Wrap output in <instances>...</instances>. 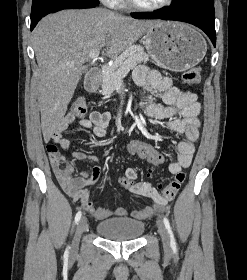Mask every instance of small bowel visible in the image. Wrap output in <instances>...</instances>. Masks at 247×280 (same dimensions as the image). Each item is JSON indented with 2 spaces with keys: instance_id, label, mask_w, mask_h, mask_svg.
<instances>
[{
  "instance_id": "c3829d8e",
  "label": "small bowel",
  "mask_w": 247,
  "mask_h": 280,
  "mask_svg": "<svg viewBox=\"0 0 247 280\" xmlns=\"http://www.w3.org/2000/svg\"><path fill=\"white\" fill-rule=\"evenodd\" d=\"M134 80L142 90L160 95L163 102L162 104L149 103L144 105L145 114L154 120H166V127L169 130L185 135V139L179 142L177 146V159L168 163L169 172L175 175L191 165L195 152V142L199 137V114L201 110L197 96L192 91L180 89L169 78L162 76L157 71L148 70L145 66H139L135 69ZM74 118L72 113H68L59 122L56 129L51 133V145L59 147L63 151L70 150V142L63 137V134L74 121ZM110 120V113L94 111L87 118L81 119L79 126L84 129H91L96 137H103L106 134ZM71 157L77 161L89 159L96 163L99 162L97 156L82 151L72 152ZM101 171L100 165L97 164L90 173L81 171L79 175H72L69 178L58 177L64 191L73 200L79 202L80 206L94 218L103 220L112 216L130 214L131 217L141 220L166 205L167 200L150 183L136 182V170L128 168L124 176L133 181V186L126 189L135 195L151 199L153 205L143 209H135L130 213L124 207L116 209L96 208L90 200V191L87 186L97 183L101 176Z\"/></svg>"
}]
</instances>
